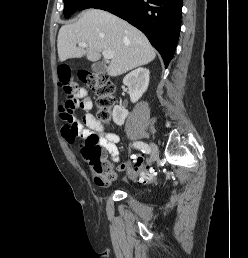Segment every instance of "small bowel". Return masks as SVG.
<instances>
[{
	"label": "small bowel",
	"instance_id": "1",
	"mask_svg": "<svg viewBox=\"0 0 248 258\" xmlns=\"http://www.w3.org/2000/svg\"><path fill=\"white\" fill-rule=\"evenodd\" d=\"M76 106L82 111V121H74L73 125L76 127L77 133L85 138L91 134H96L101 142L103 148L109 153L114 162H119V150L117 143L119 136L116 133H107L104 130L103 124L91 113L93 108L92 99L89 97L85 88H80L76 94ZM64 133V132H63ZM66 140V134H64ZM71 143V142H70ZM129 166L127 163H120L118 166L119 171H126L128 173ZM146 172V171H145ZM132 177V173H128ZM143 181V180H141ZM94 185H103V180H94Z\"/></svg>",
	"mask_w": 248,
	"mask_h": 258
}]
</instances>
